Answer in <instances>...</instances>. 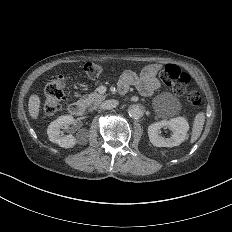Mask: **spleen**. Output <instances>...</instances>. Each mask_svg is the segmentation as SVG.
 Segmentation results:
<instances>
[{"instance_id":"spleen-1","label":"spleen","mask_w":232,"mask_h":232,"mask_svg":"<svg viewBox=\"0 0 232 232\" xmlns=\"http://www.w3.org/2000/svg\"><path fill=\"white\" fill-rule=\"evenodd\" d=\"M205 122V115L203 112L198 113L195 116L194 124L192 128L191 143H194L201 135L203 125Z\"/></svg>"}]
</instances>
